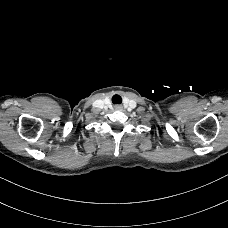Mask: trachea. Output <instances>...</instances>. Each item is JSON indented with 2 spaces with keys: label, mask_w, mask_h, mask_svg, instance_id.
I'll use <instances>...</instances> for the list:
<instances>
[{
  "label": "trachea",
  "mask_w": 228,
  "mask_h": 228,
  "mask_svg": "<svg viewBox=\"0 0 228 228\" xmlns=\"http://www.w3.org/2000/svg\"><path fill=\"white\" fill-rule=\"evenodd\" d=\"M116 99H120V100L122 101L121 97L118 96V95H115V96L113 97V101H115ZM116 103H117V102H116Z\"/></svg>",
  "instance_id": "3493384b"
}]
</instances>
